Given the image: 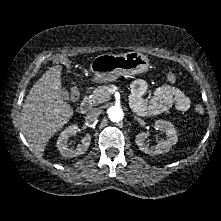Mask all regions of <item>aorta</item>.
Wrapping results in <instances>:
<instances>
[{"mask_svg":"<svg viewBox=\"0 0 221 221\" xmlns=\"http://www.w3.org/2000/svg\"><path fill=\"white\" fill-rule=\"evenodd\" d=\"M108 117L113 122H120L124 117V112L119 106H112L107 110Z\"/></svg>","mask_w":221,"mask_h":221,"instance_id":"aorta-1","label":"aorta"}]
</instances>
